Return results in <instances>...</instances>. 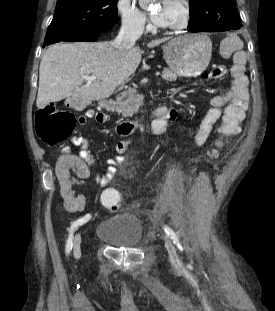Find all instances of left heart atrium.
Here are the masks:
<instances>
[{"instance_id": "obj_1", "label": "left heart atrium", "mask_w": 275, "mask_h": 311, "mask_svg": "<svg viewBox=\"0 0 275 311\" xmlns=\"http://www.w3.org/2000/svg\"><path fill=\"white\" fill-rule=\"evenodd\" d=\"M167 0L160 2L155 9L151 12V20L157 26H165V9L164 4Z\"/></svg>"}]
</instances>
